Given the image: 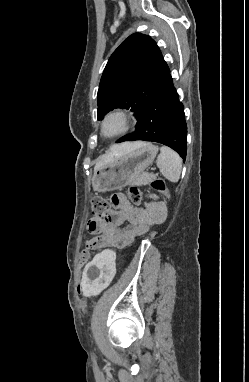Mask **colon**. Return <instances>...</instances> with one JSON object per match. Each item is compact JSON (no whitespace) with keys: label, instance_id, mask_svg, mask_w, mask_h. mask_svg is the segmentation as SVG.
I'll use <instances>...</instances> for the list:
<instances>
[{"label":"colon","instance_id":"obj_1","mask_svg":"<svg viewBox=\"0 0 249 382\" xmlns=\"http://www.w3.org/2000/svg\"><path fill=\"white\" fill-rule=\"evenodd\" d=\"M151 187L159 193H164L166 190L165 182L162 179H154L151 182ZM128 196L133 204L139 205L141 203L142 196L140 191L136 187L129 188ZM90 204H91L92 213L95 214L96 216H102L107 210V201L105 200V198L101 196L92 197ZM89 256H90V252L88 250L86 249L82 250L80 254L81 262L86 261L89 258Z\"/></svg>","mask_w":249,"mask_h":382}]
</instances>
